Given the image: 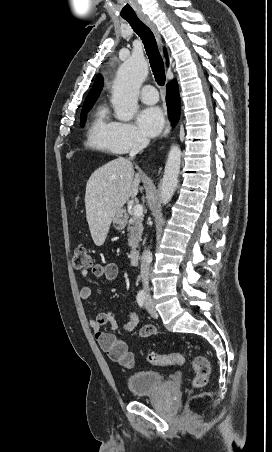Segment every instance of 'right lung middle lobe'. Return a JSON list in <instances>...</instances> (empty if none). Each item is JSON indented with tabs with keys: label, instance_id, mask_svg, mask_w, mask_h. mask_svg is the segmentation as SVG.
<instances>
[{
	"label": "right lung middle lobe",
	"instance_id": "1",
	"mask_svg": "<svg viewBox=\"0 0 272 452\" xmlns=\"http://www.w3.org/2000/svg\"><path fill=\"white\" fill-rule=\"evenodd\" d=\"M94 103L84 104L81 111V126H84V122L86 121V113L92 107Z\"/></svg>",
	"mask_w": 272,
	"mask_h": 452
}]
</instances>
